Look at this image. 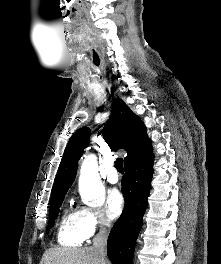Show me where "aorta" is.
Segmentation results:
<instances>
[{
	"label": "aorta",
	"instance_id": "obj_1",
	"mask_svg": "<svg viewBox=\"0 0 221 264\" xmlns=\"http://www.w3.org/2000/svg\"><path fill=\"white\" fill-rule=\"evenodd\" d=\"M79 191L85 202L94 201L104 194V186L98 174L97 158L94 155L86 156L82 162Z\"/></svg>",
	"mask_w": 221,
	"mask_h": 264
}]
</instances>
